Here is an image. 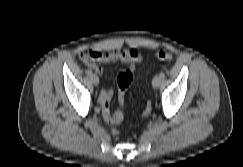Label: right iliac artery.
Masks as SVG:
<instances>
[{
    "mask_svg": "<svg viewBox=\"0 0 243 167\" xmlns=\"http://www.w3.org/2000/svg\"><path fill=\"white\" fill-rule=\"evenodd\" d=\"M86 73H87L88 75H92V71H91V70H87Z\"/></svg>",
    "mask_w": 243,
    "mask_h": 167,
    "instance_id": "1",
    "label": "right iliac artery"
}]
</instances>
